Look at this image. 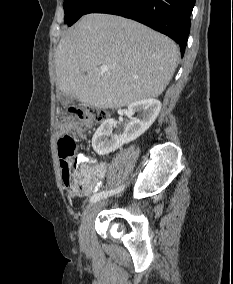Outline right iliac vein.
Wrapping results in <instances>:
<instances>
[{
	"instance_id": "obj_1",
	"label": "right iliac vein",
	"mask_w": 233,
	"mask_h": 284,
	"mask_svg": "<svg viewBox=\"0 0 233 284\" xmlns=\"http://www.w3.org/2000/svg\"><path fill=\"white\" fill-rule=\"evenodd\" d=\"M104 205V201L89 204L83 211L81 224L79 227V241L81 246L86 247L89 243V230L93 217Z\"/></svg>"
}]
</instances>
